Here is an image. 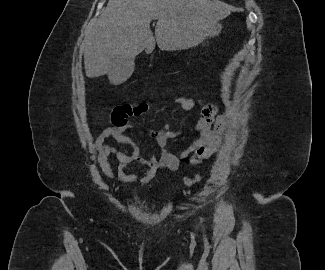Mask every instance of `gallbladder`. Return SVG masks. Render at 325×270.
I'll use <instances>...</instances> for the list:
<instances>
[{
    "label": "gallbladder",
    "instance_id": "bac80fb5",
    "mask_svg": "<svg viewBox=\"0 0 325 270\" xmlns=\"http://www.w3.org/2000/svg\"><path fill=\"white\" fill-rule=\"evenodd\" d=\"M134 68V61L126 59H118L115 62V67L112 70V73H119L121 75H128Z\"/></svg>",
    "mask_w": 325,
    "mask_h": 270
}]
</instances>
